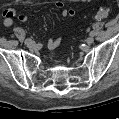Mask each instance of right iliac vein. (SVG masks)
I'll return each mask as SVG.
<instances>
[{"label": "right iliac vein", "mask_w": 119, "mask_h": 119, "mask_svg": "<svg viewBox=\"0 0 119 119\" xmlns=\"http://www.w3.org/2000/svg\"><path fill=\"white\" fill-rule=\"evenodd\" d=\"M26 45L29 48H33L35 46V42L31 40V41L27 42Z\"/></svg>", "instance_id": "1"}]
</instances>
